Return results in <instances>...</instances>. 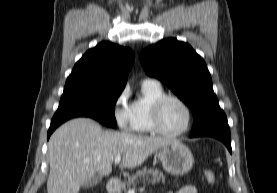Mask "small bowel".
<instances>
[{"instance_id": "c3829d8e", "label": "small bowel", "mask_w": 277, "mask_h": 193, "mask_svg": "<svg viewBox=\"0 0 277 193\" xmlns=\"http://www.w3.org/2000/svg\"><path fill=\"white\" fill-rule=\"evenodd\" d=\"M167 193H198V190L194 185H186L181 187L175 192H167Z\"/></svg>"}]
</instances>
